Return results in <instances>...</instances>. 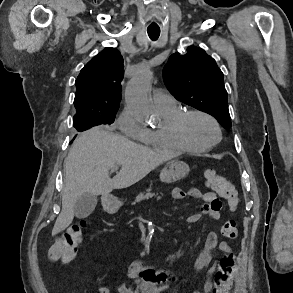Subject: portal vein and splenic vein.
Returning a JSON list of instances; mask_svg holds the SVG:
<instances>
[{
	"label": "portal vein and splenic vein",
	"instance_id": "1",
	"mask_svg": "<svg viewBox=\"0 0 293 293\" xmlns=\"http://www.w3.org/2000/svg\"><path fill=\"white\" fill-rule=\"evenodd\" d=\"M111 170L112 171H117L118 170V167L117 166L116 167H113Z\"/></svg>",
	"mask_w": 293,
	"mask_h": 293
}]
</instances>
